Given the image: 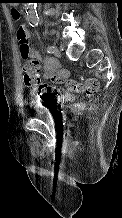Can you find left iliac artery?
<instances>
[{
  "label": "left iliac artery",
  "mask_w": 122,
  "mask_h": 218,
  "mask_svg": "<svg viewBox=\"0 0 122 218\" xmlns=\"http://www.w3.org/2000/svg\"><path fill=\"white\" fill-rule=\"evenodd\" d=\"M47 52L48 53H53L54 52V46H48L47 47Z\"/></svg>",
  "instance_id": "1"
}]
</instances>
